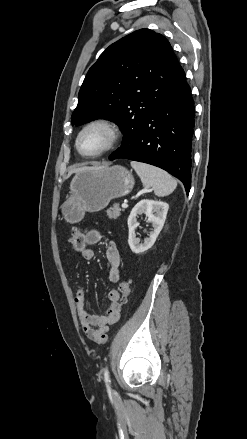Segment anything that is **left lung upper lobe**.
Returning <instances> with one entry per match:
<instances>
[{
  "label": "left lung upper lobe",
  "mask_w": 247,
  "mask_h": 439,
  "mask_svg": "<svg viewBox=\"0 0 247 439\" xmlns=\"http://www.w3.org/2000/svg\"><path fill=\"white\" fill-rule=\"evenodd\" d=\"M184 74L168 40L149 29L137 30L110 45L89 69L71 123L97 118L119 125L125 146L158 97Z\"/></svg>",
  "instance_id": "5c2ea615"
}]
</instances>
